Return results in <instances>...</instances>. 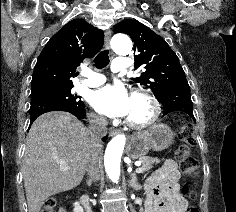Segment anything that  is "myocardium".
<instances>
[{
	"label": "myocardium",
	"instance_id": "myocardium-1",
	"mask_svg": "<svg viewBox=\"0 0 236 212\" xmlns=\"http://www.w3.org/2000/svg\"><path fill=\"white\" fill-rule=\"evenodd\" d=\"M132 98H138L145 102L148 106V113L145 118L141 120H134L127 117L125 124L134 130H142L151 126L159 117L160 114V104L158 100L148 91L144 89H135L132 92Z\"/></svg>",
	"mask_w": 236,
	"mask_h": 212
}]
</instances>
